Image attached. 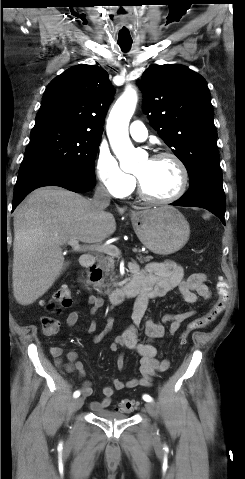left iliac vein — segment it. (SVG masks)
Here are the masks:
<instances>
[{"label": "left iliac vein", "instance_id": "left-iliac-vein-1", "mask_svg": "<svg viewBox=\"0 0 245 479\" xmlns=\"http://www.w3.org/2000/svg\"><path fill=\"white\" fill-rule=\"evenodd\" d=\"M145 409L150 416L153 418L157 417L156 407L152 402L145 403ZM154 429H156V426H154Z\"/></svg>", "mask_w": 245, "mask_h": 479}]
</instances>
